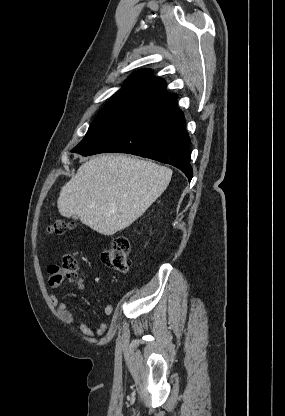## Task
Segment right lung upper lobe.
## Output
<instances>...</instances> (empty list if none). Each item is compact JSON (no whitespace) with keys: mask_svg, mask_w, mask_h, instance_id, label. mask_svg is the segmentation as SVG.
I'll use <instances>...</instances> for the list:
<instances>
[{"mask_svg":"<svg viewBox=\"0 0 285 416\" xmlns=\"http://www.w3.org/2000/svg\"><path fill=\"white\" fill-rule=\"evenodd\" d=\"M126 83L127 84L112 97L133 95L146 101L156 103L160 105L162 109L177 106L176 95L168 93L165 90V81L152 76L149 69H142L133 73L128 77Z\"/></svg>","mask_w":285,"mask_h":416,"instance_id":"cb5924a9","label":"right lung upper lobe"}]
</instances>
